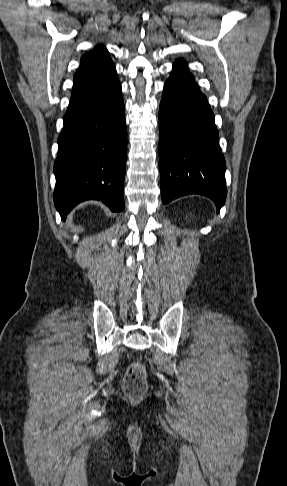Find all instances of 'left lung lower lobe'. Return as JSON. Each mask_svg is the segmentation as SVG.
<instances>
[{
    "instance_id": "1",
    "label": "left lung lower lobe",
    "mask_w": 287,
    "mask_h": 486,
    "mask_svg": "<svg viewBox=\"0 0 287 486\" xmlns=\"http://www.w3.org/2000/svg\"><path fill=\"white\" fill-rule=\"evenodd\" d=\"M159 170L163 204L187 194L225 203V160L214 114L187 63L178 59L159 109Z\"/></svg>"
}]
</instances>
